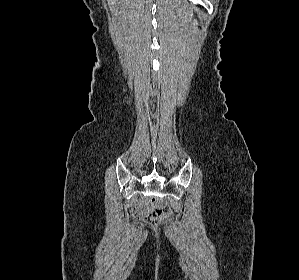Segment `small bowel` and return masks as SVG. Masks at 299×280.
<instances>
[{
  "instance_id": "small-bowel-1",
  "label": "small bowel",
  "mask_w": 299,
  "mask_h": 280,
  "mask_svg": "<svg viewBox=\"0 0 299 280\" xmlns=\"http://www.w3.org/2000/svg\"><path fill=\"white\" fill-rule=\"evenodd\" d=\"M149 212H150V205L144 203L136 208L135 215L138 217H143L147 215Z\"/></svg>"
}]
</instances>
